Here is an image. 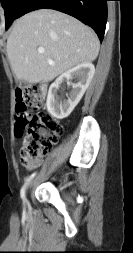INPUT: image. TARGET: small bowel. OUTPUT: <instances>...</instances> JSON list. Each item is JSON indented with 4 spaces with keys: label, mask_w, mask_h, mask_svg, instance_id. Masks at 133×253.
Segmentation results:
<instances>
[{
    "label": "small bowel",
    "mask_w": 133,
    "mask_h": 253,
    "mask_svg": "<svg viewBox=\"0 0 133 253\" xmlns=\"http://www.w3.org/2000/svg\"><path fill=\"white\" fill-rule=\"evenodd\" d=\"M40 163H41V160L39 159V160H37L35 163L29 165L28 168H29V169H32L33 167L38 166Z\"/></svg>",
    "instance_id": "c3829d8e"
}]
</instances>
